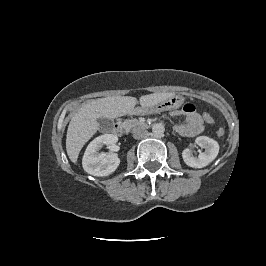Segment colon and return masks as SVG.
Masks as SVG:
<instances>
[{"label":"colon","mask_w":266,"mask_h":266,"mask_svg":"<svg viewBox=\"0 0 266 266\" xmlns=\"http://www.w3.org/2000/svg\"><path fill=\"white\" fill-rule=\"evenodd\" d=\"M203 119H204V121L206 122V123H208V124H212V123H214V117L211 115V114H209V113H204L203 114ZM224 133H225V130L223 129V128H218L217 129V135L218 136H223L224 135Z\"/></svg>","instance_id":"1"}]
</instances>
